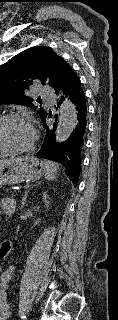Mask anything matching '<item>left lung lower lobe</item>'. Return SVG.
Segmentation results:
<instances>
[{
    "label": "left lung lower lobe",
    "mask_w": 118,
    "mask_h": 320,
    "mask_svg": "<svg viewBox=\"0 0 118 320\" xmlns=\"http://www.w3.org/2000/svg\"><path fill=\"white\" fill-rule=\"evenodd\" d=\"M57 94L60 96V101L57 106H59L65 98L70 99V101L74 103L77 110V124L71 135L64 142L58 143L55 140L57 116H55L53 125L49 126L46 122L48 118L47 113L41 118L46 136L37 156L61 163L65 167V173L69 179L72 182H77L81 171V154L87 125V106L80 79L74 71L57 91Z\"/></svg>",
    "instance_id": "obj_1"
}]
</instances>
